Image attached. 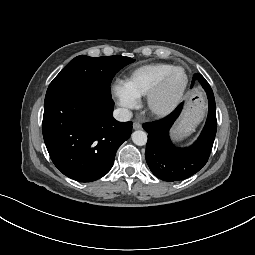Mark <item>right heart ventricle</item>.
<instances>
[{
  "mask_svg": "<svg viewBox=\"0 0 255 255\" xmlns=\"http://www.w3.org/2000/svg\"><path fill=\"white\" fill-rule=\"evenodd\" d=\"M175 66L172 64H148L135 69L127 80L130 89L139 97L148 95L163 76Z\"/></svg>",
  "mask_w": 255,
  "mask_h": 255,
  "instance_id": "obj_1",
  "label": "right heart ventricle"
}]
</instances>
